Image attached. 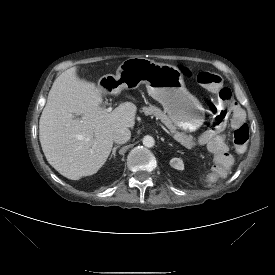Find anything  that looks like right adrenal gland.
Returning <instances> with one entry per match:
<instances>
[{"instance_id":"2a0ac1e0","label":"right adrenal gland","mask_w":275,"mask_h":275,"mask_svg":"<svg viewBox=\"0 0 275 275\" xmlns=\"http://www.w3.org/2000/svg\"><path fill=\"white\" fill-rule=\"evenodd\" d=\"M118 148H120V145H115V146L113 147L112 154H111V156H110L109 159L115 158L116 150H117Z\"/></svg>"}]
</instances>
